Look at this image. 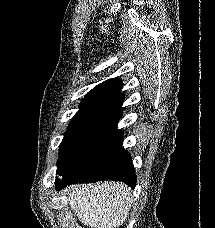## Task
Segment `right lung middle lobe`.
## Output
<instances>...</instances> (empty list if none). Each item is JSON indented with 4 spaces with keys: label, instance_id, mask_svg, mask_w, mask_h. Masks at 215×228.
Masks as SVG:
<instances>
[{
    "label": "right lung middle lobe",
    "instance_id": "dd1d6c3e",
    "mask_svg": "<svg viewBox=\"0 0 215 228\" xmlns=\"http://www.w3.org/2000/svg\"><path fill=\"white\" fill-rule=\"evenodd\" d=\"M122 134L117 129V123L112 122H93L67 129L59 147L57 174L64 178ZM60 180L57 177L55 184Z\"/></svg>",
    "mask_w": 215,
    "mask_h": 228
}]
</instances>
